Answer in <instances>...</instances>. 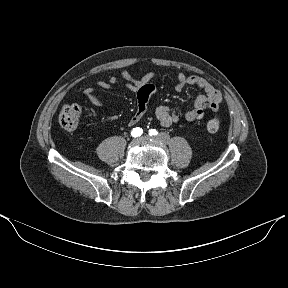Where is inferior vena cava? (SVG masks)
<instances>
[{
	"label": "inferior vena cava",
	"mask_w": 288,
	"mask_h": 288,
	"mask_svg": "<svg viewBox=\"0 0 288 288\" xmlns=\"http://www.w3.org/2000/svg\"><path fill=\"white\" fill-rule=\"evenodd\" d=\"M156 140L161 144H167L169 142V137L163 131H157L155 133Z\"/></svg>",
	"instance_id": "inferior-vena-cava-1"
}]
</instances>
